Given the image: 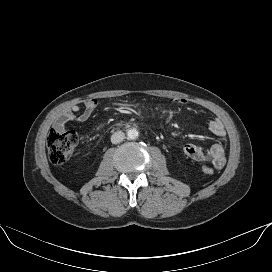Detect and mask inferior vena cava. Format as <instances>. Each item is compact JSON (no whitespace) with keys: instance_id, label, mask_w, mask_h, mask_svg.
I'll return each mask as SVG.
<instances>
[{"instance_id":"obj_1","label":"inferior vena cava","mask_w":272,"mask_h":272,"mask_svg":"<svg viewBox=\"0 0 272 272\" xmlns=\"http://www.w3.org/2000/svg\"><path fill=\"white\" fill-rule=\"evenodd\" d=\"M125 138V134L122 131H117L111 136V142L113 144L120 143Z\"/></svg>"}]
</instances>
